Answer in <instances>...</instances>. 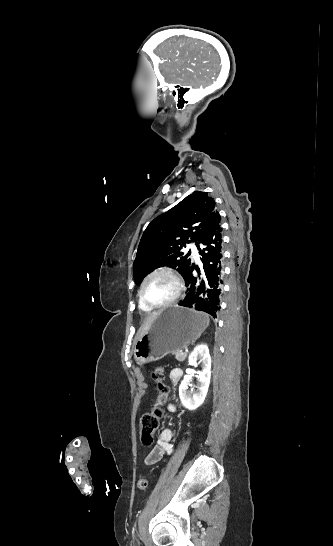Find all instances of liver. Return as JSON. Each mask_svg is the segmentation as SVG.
<instances>
[{
    "mask_svg": "<svg viewBox=\"0 0 333 546\" xmlns=\"http://www.w3.org/2000/svg\"><path fill=\"white\" fill-rule=\"evenodd\" d=\"M159 313H160V312H154V313H151V314L147 317L145 323H144V324L141 326V328H140V334H139L140 337H141L142 335H144V334L148 331V329H149L151 323L153 322V320L155 319V317H156Z\"/></svg>",
    "mask_w": 333,
    "mask_h": 546,
    "instance_id": "1",
    "label": "liver"
}]
</instances>
